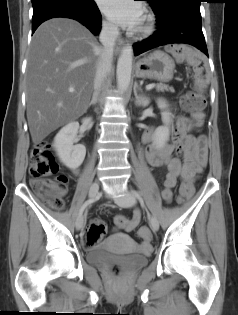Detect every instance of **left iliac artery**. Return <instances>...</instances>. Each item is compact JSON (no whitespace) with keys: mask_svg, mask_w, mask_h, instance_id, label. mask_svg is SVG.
<instances>
[{"mask_svg":"<svg viewBox=\"0 0 238 315\" xmlns=\"http://www.w3.org/2000/svg\"><path fill=\"white\" fill-rule=\"evenodd\" d=\"M131 194L137 198H139L141 196V193L139 191H136V190H132L131 191Z\"/></svg>","mask_w":238,"mask_h":315,"instance_id":"1","label":"left iliac artery"}]
</instances>
